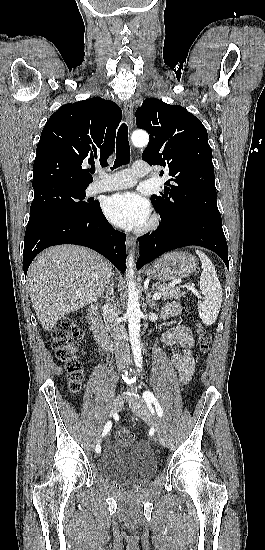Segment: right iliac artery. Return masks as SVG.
I'll list each match as a JSON object with an SVG mask.
<instances>
[{
    "instance_id": "obj_1",
    "label": "right iliac artery",
    "mask_w": 265,
    "mask_h": 550,
    "mask_svg": "<svg viewBox=\"0 0 265 550\" xmlns=\"http://www.w3.org/2000/svg\"><path fill=\"white\" fill-rule=\"evenodd\" d=\"M111 427H112L111 421H109L108 423H106V425H105V427H104V430H103V433H102V436H105V435L110 431ZM95 450H96L97 453H100V451H101L100 443H98V444L96 445Z\"/></svg>"
}]
</instances>
